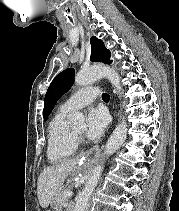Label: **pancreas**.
<instances>
[{"instance_id": "obj_1", "label": "pancreas", "mask_w": 179, "mask_h": 211, "mask_svg": "<svg viewBox=\"0 0 179 211\" xmlns=\"http://www.w3.org/2000/svg\"><path fill=\"white\" fill-rule=\"evenodd\" d=\"M70 191L69 187L63 188L60 192L57 193L55 199L52 203V206L56 209V211H62L63 206L68 200V197L64 195V192Z\"/></svg>"}]
</instances>
